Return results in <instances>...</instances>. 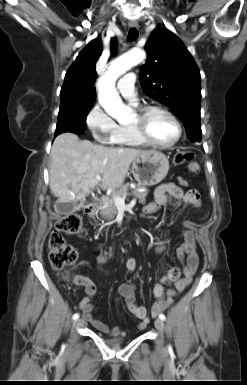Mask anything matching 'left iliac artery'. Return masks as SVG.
I'll list each match as a JSON object with an SVG mask.
<instances>
[{
	"mask_svg": "<svg viewBox=\"0 0 247 385\" xmlns=\"http://www.w3.org/2000/svg\"><path fill=\"white\" fill-rule=\"evenodd\" d=\"M159 318L162 319L163 321L166 319L165 315L162 313L159 315Z\"/></svg>",
	"mask_w": 247,
	"mask_h": 385,
	"instance_id": "1",
	"label": "left iliac artery"
}]
</instances>
